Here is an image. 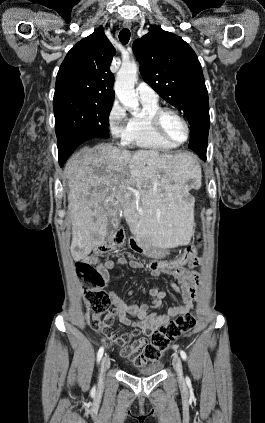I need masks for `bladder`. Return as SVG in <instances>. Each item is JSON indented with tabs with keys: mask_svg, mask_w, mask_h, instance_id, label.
<instances>
[{
	"mask_svg": "<svg viewBox=\"0 0 265 423\" xmlns=\"http://www.w3.org/2000/svg\"><path fill=\"white\" fill-rule=\"evenodd\" d=\"M161 367V364H156L145 368L135 369L133 370V373L140 376H150L157 374L161 370Z\"/></svg>",
	"mask_w": 265,
	"mask_h": 423,
	"instance_id": "bladder-1",
	"label": "bladder"
}]
</instances>
